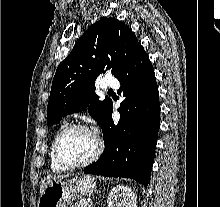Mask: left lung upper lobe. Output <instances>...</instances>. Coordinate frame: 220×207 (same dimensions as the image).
<instances>
[{
	"label": "left lung upper lobe",
	"instance_id": "obj_1",
	"mask_svg": "<svg viewBox=\"0 0 220 207\" xmlns=\"http://www.w3.org/2000/svg\"><path fill=\"white\" fill-rule=\"evenodd\" d=\"M138 44L131 29L116 18L103 17L91 25L57 67L47 105V126L86 108L102 126L112 102L109 98L99 100L95 80L109 70L117 77Z\"/></svg>",
	"mask_w": 220,
	"mask_h": 207
}]
</instances>
